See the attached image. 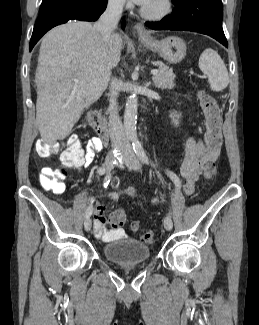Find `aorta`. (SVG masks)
Instances as JSON below:
<instances>
[{"label":"aorta","instance_id":"1","mask_svg":"<svg viewBox=\"0 0 259 325\" xmlns=\"http://www.w3.org/2000/svg\"><path fill=\"white\" fill-rule=\"evenodd\" d=\"M137 110H138V99L135 93H132L125 105L124 111V131L126 138L133 142L135 148L139 147V141L137 137Z\"/></svg>","mask_w":259,"mask_h":325}]
</instances>
